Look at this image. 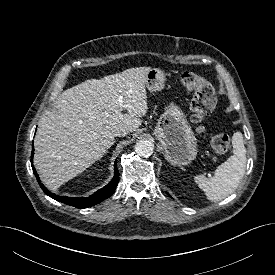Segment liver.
<instances>
[{"instance_id":"liver-1","label":"liver","mask_w":275,"mask_h":275,"mask_svg":"<svg viewBox=\"0 0 275 275\" xmlns=\"http://www.w3.org/2000/svg\"><path fill=\"white\" fill-rule=\"evenodd\" d=\"M150 69L86 80L59 95L54 109L40 118L34 139V164L48 188L60 187L102 158L116 131L140 127L148 110L145 84Z\"/></svg>"}]
</instances>
